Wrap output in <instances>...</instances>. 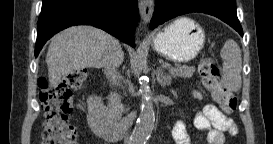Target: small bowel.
<instances>
[{
	"label": "small bowel",
	"mask_w": 273,
	"mask_h": 144,
	"mask_svg": "<svg viewBox=\"0 0 273 144\" xmlns=\"http://www.w3.org/2000/svg\"><path fill=\"white\" fill-rule=\"evenodd\" d=\"M195 96L200 98L201 94L196 92ZM194 126L205 133V142L208 144H223L225 142L224 133H228L231 136L238 134V128L234 121L213 104H206L196 114ZM172 134L176 144H191L190 136L183 122H176Z\"/></svg>",
	"instance_id": "c3829d8e"
}]
</instances>
